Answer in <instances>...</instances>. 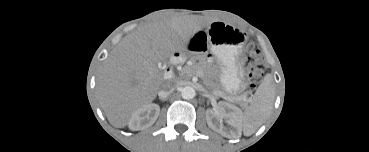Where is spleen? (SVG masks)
Here are the masks:
<instances>
[{"label": "spleen", "mask_w": 369, "mask_h": 152, "mask_svg": "<svg viewBox=\"0 0 369 152\" xmlns=\"http://www.w3.org/2000/svg\"><path fill=\"white\" fill-rule=\"evenodd\" d=\"M274 88L270 76L258 87L251 106L242 116V127L247 134L254 133L269 116L274 102Z\"/></svg>", "instance_id": "1"}]
</instances>
